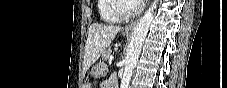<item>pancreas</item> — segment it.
Returning a JSON list of instances; mask_svg holds the SVG:
<instances>
[{
    "mask_svg": "<svg viewBox=\"0 0 227 88\" xmlns=\"http://www.w3.org/2000/svg\"><path fill=\"white\" fill-rule=\"evenodd\" d=\"M112 54V50L110 48L106 49L105 51H103L102 53V59L103 60H108L109 57L111 56Z\"/></svg>",
    "mask_w": 227,
    "mask_h": 88,
    "instance_id": "pancreas-1",
    "label": "pancreas"
}]
</instances>
